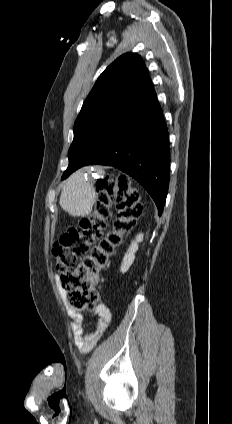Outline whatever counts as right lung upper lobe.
Listing matches in <instances>:
<instances>
[{
  "label": "right lung upper lobe",
  "instance_id": "right-lung-upper-lobe-1",
  "mask_svg": "<svg viewBox=\"0 0 232 424\" xmlns=\"http://www.w3.org/2000/svg\"><path fill=\"white\" fill-rule=\"evenodd\" d=\"M156 96L149 72L141 57L126 53L117 58L99 76L83 103L82 111L108 105L134 106Z\"/></svg>",
  "mask_w": 232,
  "mask_h": 424
}]
</instances>
